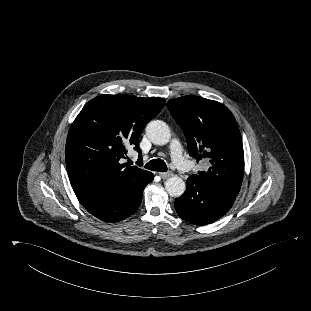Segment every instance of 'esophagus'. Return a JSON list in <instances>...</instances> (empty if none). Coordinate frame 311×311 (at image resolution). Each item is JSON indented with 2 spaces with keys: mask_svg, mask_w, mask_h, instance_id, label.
I'll return each mask as SVG.
<instances>
[{
  "mask_svg": "<svg viewBox=\"0 0 311 311\" xmlns=\"http://www.w3.org/2000/svg\"><path fill=\"white\" fill-rule=\"evenodd\" d=\"M159 175L162 179H167V178L172 176V173L171 172H162V173H159Z\"/></svg>",
  "mask_w": 311,
  "mask_h": 311,
  "instance_id": "esophagus-1",
  "label": "esophagus"
}]
</instances>
